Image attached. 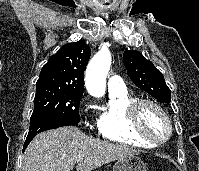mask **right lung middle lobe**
Wrapping results in <instances>:
<instances>
[{
    "instance_id": "dd1d6c3e",
    "label": "right lung middle lobe",
    "mask_w": 199,
    "mask_h": 171,
    "mask_svg": "<svg viewBox=\"0 0 199 171\" xmlns=\"http://www.w3.org/2000/svg\"><path fill=\"white\" fill-rule=\"evenodd\" d=\"M83 93L53 86H36L31 119L43 115H58L78 125L79 103Z\"/></svg>"
}]
</instances>
